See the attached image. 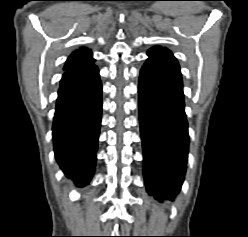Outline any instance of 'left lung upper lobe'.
Segmentation results:
<instances>
[{"mask_svg": "<svg viewBox=\"0 0 248 237\" xmlns=\"http://www.w3.org/2000/svg\"><path fill=\"white\" fill-rule=\"evenodd\" d=\"M149 60L163 67L165 70L180 75V67L173 54L166 48L153 47L148 51Z\"/></svg>", "mask_w": 248, "mask_h": 237, "instance_id": "5c2ea615", "label": "left lung upper lobe"}]
</instances>
